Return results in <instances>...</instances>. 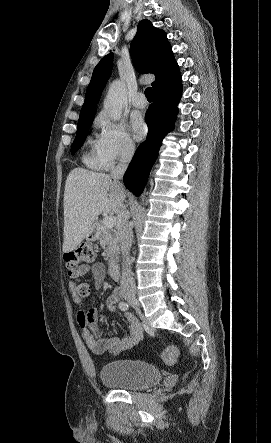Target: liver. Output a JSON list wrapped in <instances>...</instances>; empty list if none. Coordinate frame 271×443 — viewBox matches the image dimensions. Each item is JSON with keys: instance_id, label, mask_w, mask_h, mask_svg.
<instances>
[{"instance_id": "6515ba94", "label": "liver", "mask_w": 271, "mask_h": 443, "mask_svg": "<svg viewBox=\"0 0 271 443\" xmlns=\"http://www.w3.org/2000/svg\"><path fill=\"white\" fill-rule=\"evenodd\" d=\"M123 194L119 182L108 174L74 168L65 182L63 251L75 249L102 212L117 214L119 223Z\"/></svg>"}]
</instances>
